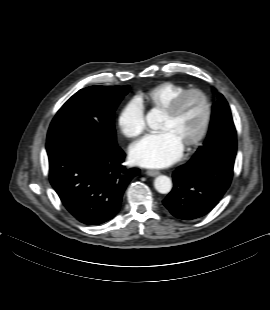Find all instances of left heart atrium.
I'll list each match as a JSON object with an SVG mask.
<instances>
[{
	"label": "left heart atrium",
	"instance_id": "obj_1",
	"mask_svg": "<svg viewBox=\"0 0 270 310\" xmlns=\"http://www.w3.org/2000/svg\"><path fill=\"white\" fill-rule=\"evenodd\" d=\"M183 149L167 132L143 137L130 148L132 163L146 168H162L177 161Z\"/></svg>",
	"mask_w": 270,
	"mask_h": 310
}]
</instances>
